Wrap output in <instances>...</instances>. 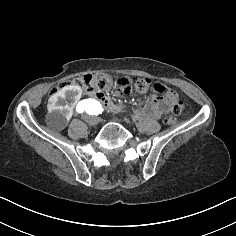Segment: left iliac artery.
<instances>
[{"label":"left iliac artery","mask_w":236,"mask_h":236,"mask_svg":"<svg viewBox=\"0 0 236 236\" xmlns=\"http://www.w3.org/2000/svg\"><path fill=\"white\" fill-rule=\"evenodd\" d=\"M85 110L89 115H98L102 114L104 109L102 108L100 102L90 98L85 103Z\"/></svg>","instance_id":"1"}]
</instances>
